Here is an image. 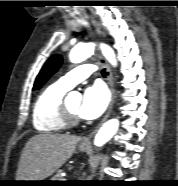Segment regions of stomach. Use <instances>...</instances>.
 I'll use <instances>...</instances> for the list:
<instances>
[{
	"label": "stomach",
	"instance_id": "obj_1",
	"mask_svg": "<svg viewBox=\"0 0 178 186\" xmlns=\"http://www.w3.org/2000/svg\"><path fill=\"white\" fill-rule=\"evenodd\" d=\"M87 145L86 144H83V143H80L79 146H78V149L80 151H85L87 149Z\"/></svg>",
	"mask_w": 178,
	"mask_h": 186
}]
</instances>
